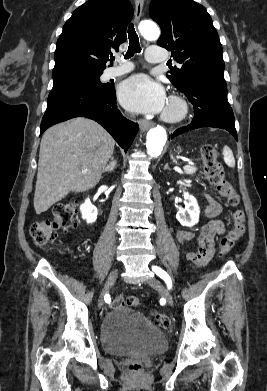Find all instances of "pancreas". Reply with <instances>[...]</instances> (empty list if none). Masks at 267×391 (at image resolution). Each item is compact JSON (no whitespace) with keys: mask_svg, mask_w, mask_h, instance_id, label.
I'll use <instances>...</instances> for the list:
<instances>
[{"mask_svg":"<svg viewBox=\"0 0 267 391\" xmlns=\"http://www.w3.org/2000/svg\"><path fill=\"white\" fill-rule=\"evenodd\" d=\"M183 169L186 174H193L196 171V168L194 166H184Z\"/></svg>","mask_w":267,"mask_h":391,"instance_id":"obj_1","label":"pancreas"}]
</instances>
